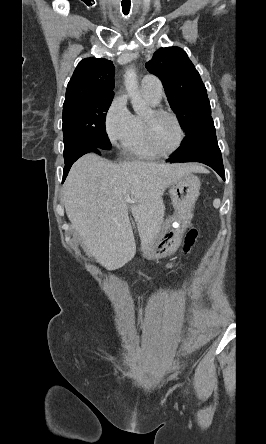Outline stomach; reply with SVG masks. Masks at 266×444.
I'll list each match as a JSON object with an SVG mask.
<instances>
[{
    "label": "stomach",
    "mask_w": 266,
    "mask_h": 444,
    "mask_svg": "<svg viewBox=\"0 0 266 444\" xmlns=\"http://www.w3.org/2000/svg\"><path fill=\"white\" fill-rule=\"evenodd\" d=\"M200 180L187 174L171 184L169 194L175 209L174 214L163 224L157 237L146 248L142 245L145 257L149 259L169 254L173 246L167 248L172 239L181 235L192 218V211L199 196ZM166 248V251L163 249Z\"/></svg>",
    "instance_id": "1"
}]
</instances>
